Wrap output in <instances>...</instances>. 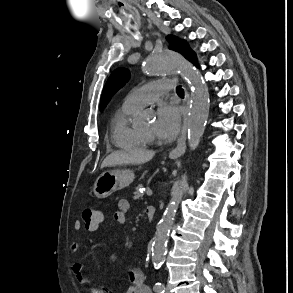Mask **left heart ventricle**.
<instances>
[{
  "mask_svg": "<svg viewBox=\"0 0 293 293\" xmlns=\"http://www.w3.org/2000/svg\"><path fill=\"white\" fill-rule=\"evenodd\" d=\"M143 133H146V134H150V135H154V124H153V122L152 123H150L143 131H142Z\"/></svg>",
  "mask_w": 293,
  "mask_h": 293,
  "instance_id": "obj_1",
  "label": "left heart ventricle"
}]
</instances>
